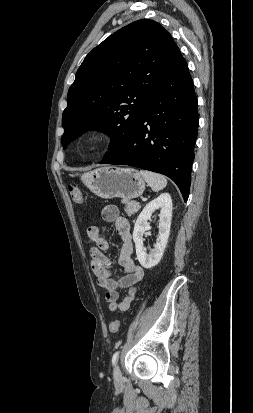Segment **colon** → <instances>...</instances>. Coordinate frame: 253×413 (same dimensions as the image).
I'll use <instances>...</instances> for the list:
<instances>
[{
  "instance_id": "1",
  "label": "colon",
  "mask_w": 253,
  "mask_h": 413,
  "mask_svg": "<svg viewBox=\"0 0 253 413\" xmlns=\"http://www.w3.org/2000/svg\"><path fill=\"white\" fill-rule=\"evenodd\" d=\"M67 189L74 202L81 203L83 201V194L76 183L74 182L69 183L67 186ZM119 328H120L119 320H114L109 325V331L111 333H116L119 330Z\"/></svg>"
}]
</instances>
